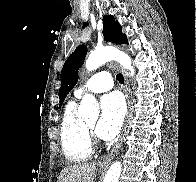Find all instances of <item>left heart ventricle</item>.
I'll return each instance as SVG.
<instances>
[{
	"label": "left heart ventricle",
	"mask_w": 196,
	"mask_h": 182,
	"mask_svg": "<svg viewBox=\"0 0 196 182\" xmlns=\"http://www.w3.org/2000/svg\"><path fill=\"white\" fill-rule=\"evenodd\" d=\"M95 123H96V121H91V122H88V125H89L90 127H94V126H95Z\"/></svg>",
	"instance_id": "1"
}]
</instances>
